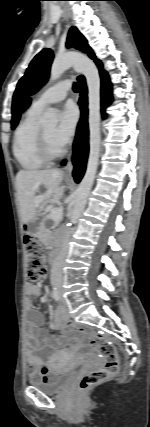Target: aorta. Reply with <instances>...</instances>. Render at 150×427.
<instances>
[{
    "mask_svg": "<svg viewBox=\"0 0 150 427\" xmlns=\"http://www.w3.org/2000/svg\"><path fill=\"white\" fill-rule=\"evenodd\" d=\"M70 67L85 76L88 87L89 155L85 174L76 191L74 208L70 217L71 224H76L86 206L100 155V76L96 65L87 56L80 53H69L56 56L51 66L50 81L57 80ZM40 121L43 126L53 128L58 123L57 114L50 108Z\"/></svg>",
    "mask_w": 150,
    "mask_h": 427,
    "instance_id": "762f6f07",
    "label": "aorta"
}]
</instances>
